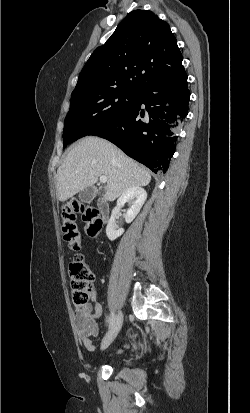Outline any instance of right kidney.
<instances>
[{
  "label": "right kidney",
  "mask_w": 250,
  "mask_h": 413,
  "mask_svg": "<svg viewBox=\"0 0 250 413\" xmlns=\"http://www.w3.org/2000/svg\"><path fill=\"white\" fill-rule=\"evenodd\" d=\"M147 198L146 191L141 187H130L126 189L118 198L115 208L112 210L111 217L106 227V235L113 241L124 233L123 228L117 229L115 225L116 215L125 203L130 204V208L124 214L126 223H131L140 212Z\"/></svg>",
  "instance_id": "1"
}]
</instances>
